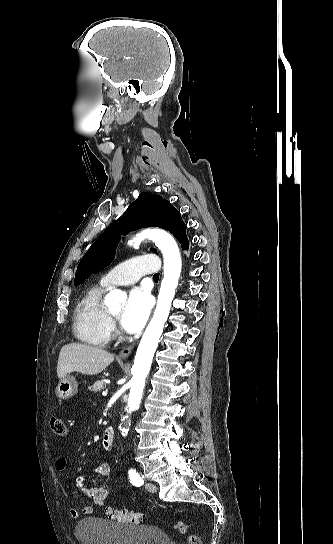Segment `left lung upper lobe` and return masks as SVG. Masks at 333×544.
Returning <instances> with one entry per match:
<instances>
[{"instance_id":"1","label":"left lung upper lobe","mask_w":333,"mask_h":544,"mask_svg":"<svg viewBox=\"0 0 333 544\" xmlns=\"http://www.w3.org/2000/svg\"><path fill=\"white\" fill-rule=\"evenodd\" d=\"M150 226H158L170 231L179 240L182 248L188 247L186 226L180 213L161 196L142 193L128 207L124 215L114 221L89 248L78 265L74 279L75 286L111 263L115 247L120 240V233L126 234L129 230ZM151 250L156 252L153 248Z\"/></svg>"}]
</instances>
